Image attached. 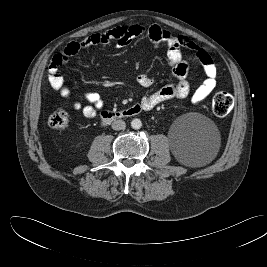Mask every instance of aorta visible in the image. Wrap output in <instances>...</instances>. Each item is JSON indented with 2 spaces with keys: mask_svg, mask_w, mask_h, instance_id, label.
I'll use <instances>...</instances> for the list:
<instances>
[{
  "mask_svg": "<svg viewBox=\"0 0 267 267\" xmlns=\"http://www.w3.org/2000/svg\"><path fill=\"white\" fill-rule=\"evenodd\" d=\"M131 127L133 128V129H140L141 127H142V122H141V120L140 119H133L132 121H131Z\"/></svg>",
  "mask_w": 267,
  "mask_h": 267,
  "instance_id": "aorta-1",
  "label": "aorta"
}]
</instances>
